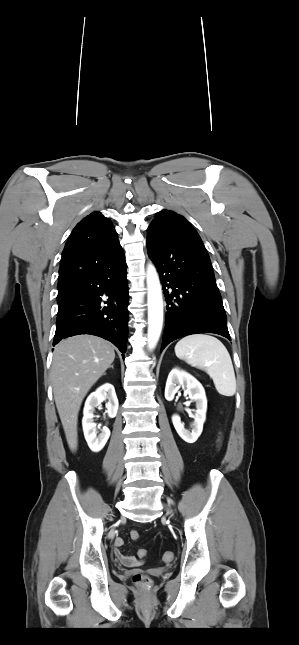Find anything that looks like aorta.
I'll list each match as a JSON object with an SVG mask.
<instances>
[{
    "label": "aorta",
    "instance_id": "aorta-1",
    "mask_svg": "<svg viewBox=\"0 0 299 645\" xmlns=\"http://www.w3.org/2000/svg\"><path fill=\"white\" fill-rule=\"evenodd\" d=\"M148 343L152 349L159 340L163 325V299L158 273L153 265L147 268Z\"/></svg>",
    "mask_w": 299,
    "mask_h": 645
}]
</instances>
